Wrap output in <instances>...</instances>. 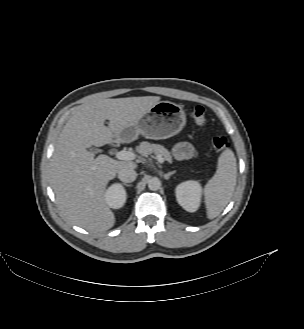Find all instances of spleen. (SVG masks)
Here are the masks:
<instances>
[{
    "label": "spleen",
    "instance_id": "obj_1",
    "mask_svg": "<svg viewBox=\"0 0 304 329\" xmlns=\"http://www.w3.org/2000/svg\"><path fill=\"white\" fill-rule=\"evenodd\" d=\"M236 158L232 150H224L219 159L214 176L204 188L207 217L216 218L230 202L237 178Z\"/></svg>",
    "mask_w": 304,
    "mask_h": 329
}]
</instances>
